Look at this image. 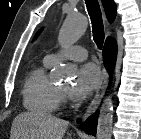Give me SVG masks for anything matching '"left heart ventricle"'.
Here are the masks:
<instances>
[{"label":"left heart ventricle","instance_id":"1","mask_svg":"<svg viewBox=\"0 0 141 139\" xmlns=\"http://www.w3.org/2000/svg\"><path fill=\"white\" fill-rule=\"evenodd\" d=\"M69 86H63L62 89L67 90Z\"/></svg>","mask_w":141,"mask_h":139}]
</instances>
